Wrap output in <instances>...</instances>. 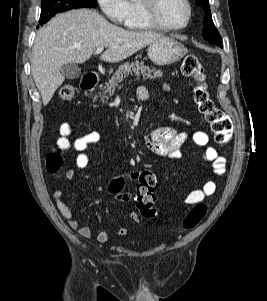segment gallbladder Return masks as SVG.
Segmentation results:
<instances>
[{
  "instance_id": "bac80fb5",
  "label": "gallbladder",
  "mask_w": 267,
  "mask_h": 301,
  "mask_svg": "<svg viewBox=\"0 0 267 301\" xmlns=\"http://www.w3.org/2000/svg\"><path fill=\"white\" fill-rule=\"evenodd\" d=\"M62 75L67 79H77L81 75V69L75 63L64 64L60 69Z\"/></svg>"
}]
</instances>
